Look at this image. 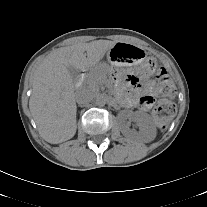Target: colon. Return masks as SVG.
<instances>
[{
  "label": "colon",
  "mask_w": 207,
  "mask_h": 207,
  "mask_svg": "<svg viewBox=\"0 0 207 207\" xmlns=\"http://www.w3.org/2000/svg\"><path fill=\"white\" fill-rule=\"evenodd\" d=\"M148 66L156 73V94L158 97L162 98L154 110V118L159 127L164 129L167 120L175 112V106L168 98H172L175 95L176 88L166 70L160 67L155 59H149Z\"/></svg>",
  "instance_id": "colon-1"
}]
</instances>
